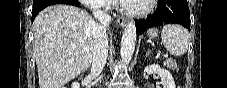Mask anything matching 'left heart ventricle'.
Listing matches in <instances>:
<instances>
[{"label": "left heart ventricle", "mask_w": 227, "mask_h": 88, "mask_svg": "<svg viewBox=\"0 0 227 88\" xmlns=\"http://www.w3.org/2000/svg\"><path fill=\"white\" fill-rule=\"evenodd\" d=\"M145 1H137L135 4H133L135 7L140 8L145 6Z\"/></svg>", "instance_id": "1"}]
</instances>
